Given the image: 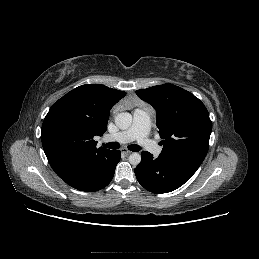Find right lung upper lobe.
<instances>
[{
    "label": "right lung upper lobe",
    "instance_id": "1",
    "mask_svg": "<svg viewBox=\"0 0 259 259\" xmlns=\"http://www.w3.org/2000/svg\"><path fill=\"white\" fill-rule=\"evenodd\" d=\"M125 92L101 84L79 86L60 98L46 115L41 140L46 157L60 176L74 165L104 156L109 151L93 137L107 129L110 110Z\"/></svg>",
    "mask_w": 259,
    "mask_h": 259
}]
</instances>
